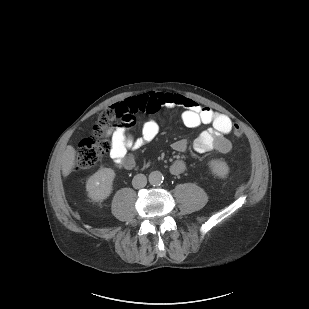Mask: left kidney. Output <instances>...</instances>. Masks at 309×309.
I'll list each match as a JSON object with an SVG mask.
<instances>
[{
	"label": "left kidney",
	"mask_w": 309,
	"mask_h": 309,
	"mask_svg": "<svg viewBox=\"0 0 309 309\" xmlns=\"http://www.w3.org/2000/svg\"><path fill=\"white\" fill-rule=\"evenodd\" d=\"M210 167L212 169V172L221 178L226 177V175L229 173V167L228 165L220 160H212L210 162Z\"/></svg>",
	"instance_id": "obj_1"
}]
</instances>
